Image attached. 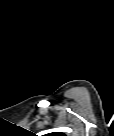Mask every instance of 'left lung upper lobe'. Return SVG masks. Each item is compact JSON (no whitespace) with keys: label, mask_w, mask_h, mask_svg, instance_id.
<instances>
[{"label":"left lung upper lobe","mask_w":114,"mask_h":136,"mask_svg":"<svg viewBox=\"0 0 114 136\" xmlns=\"http://www.w3.org/2000/svg\"><path fill=\"white\" fill-rule=\"evenodd\" d=\"M58 135H60V136H63V134H61V133H57Z\"/></svg>","instance_id":"left-lung-upper-lobe-1"}]
</instances>
